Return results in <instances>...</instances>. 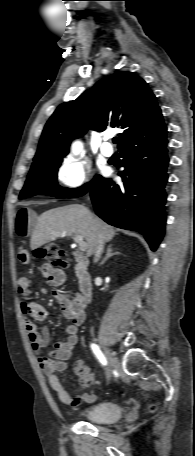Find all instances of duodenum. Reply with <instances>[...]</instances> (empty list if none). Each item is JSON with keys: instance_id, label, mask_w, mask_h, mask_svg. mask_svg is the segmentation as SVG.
<instances>
[{"instance_id": "1", "label": "duodenum", "mask_w": 195, "mask_h": 456, "mask_svg": "<svg viewBox=\"0 0 195 456\" xmlns=\"http://www.w3.org/2000/svg\"><path fill=\"white\" fill-rule=\"evenodd\" d=\"M74 259L78 272V282L81 297L84 303H88L92 297L93 290L92 280L89 273L87 272L88 259L81 254H75Z\"/></svg>"}]
</instances>
